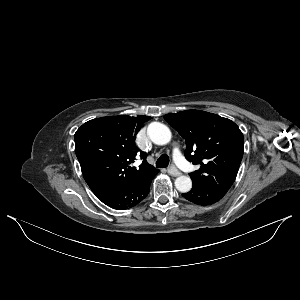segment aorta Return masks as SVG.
<instances>
[{"instance_id": "762f6f07", "label": "aorta", "mask_w": 300, "mask_h": 300, "mask_svg": "<svg viewBox=\"0 0 300 300\" xmlns=\"http://www.w3.org/2000/svg\"><path fill=\"white\" fill-rule=\"evenodd\" d=\"M150 140L157 145H165L171 140L170 129L159 122H153L148 127ZM175 187L179 192L186 193L192 188V181L189 176L181 175L175 180Z\"/></svg>"}]
</instances>
